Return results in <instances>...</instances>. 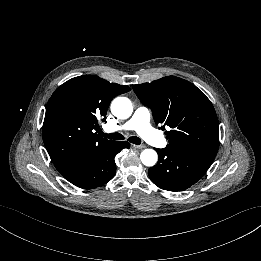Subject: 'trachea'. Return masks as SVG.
I'll use <instances>...</instances> for the list:
<instances>
[{
	"instance_id": "1",
	"label": "trachea",
	"mask_w": 261,
	"mask_h": 261,
	"mask_svg": "<svg viewBox=\"0 0 261 261\" xmlns=\"http://www.w3.org/2000/svg\"><path fill=\"white\" fill-rule=\"evenodd\" d=\"M101 136L113 140H124V136L120 133H110V134L101 133ZM128 141L136 145L141 144V139L136 136L129 137Z\"/></svg>"
}]
</instances>
